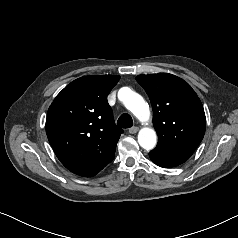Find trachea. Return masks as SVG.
I'll return each mask as SVG.
<instances>
[{
  "mask_svg": "<svg viewBox=\"0 0 238 238\" xmlns=\"http://www.w3.org/2000/svg\"><path fill=\"white\" fill-rule=\"evenodd\" d=\"M117 125L121 128H130L133 126V120L129 114H122L117 121Z\"/></svg>",
  "mask_w": 238,
  "mask_h": 238,
  "instance_id": "1",
  "label": "trachea"
}]
</instances>
